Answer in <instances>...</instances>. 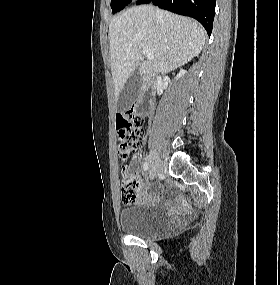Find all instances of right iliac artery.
I'll list each match as a JSON object with an SVG mask.
<instances>
[{
  "instance_id": "obj_1",
  "label": "right iliac artery",
  "mask_w": 280,
  "mask_h": 285,
  "mask_svg": "<svg viewBox=\"0 0 280 285\" xmlns=\"http://www.w3.org/2000/svg\"><path fill=\"white\" fill-rule=\"evenodd\" d=\"M143 168H144V171H147V170H148L149 164H148L147 161H145Z\"/></svg>"
}]
</instances>
